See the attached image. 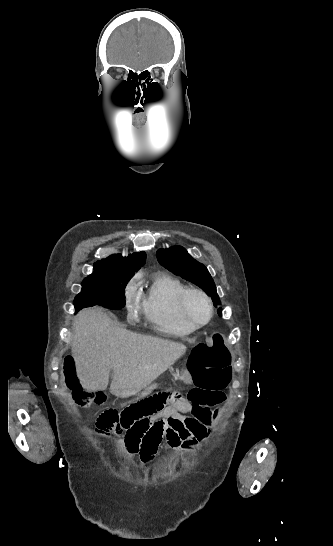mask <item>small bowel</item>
I'll list each match as a JSON object with an SVG mask.
<instances>
[{
  "mask_svg": "<svg viewBox=\"0 0 333 546\" xmlns=\"http://www.w3.org/2000/svg\"><path fill=\"white\" fill-rule=\"evenodd\" d=\"M178 374L182 376V380L187 381L188 387L195 384L192 381L194 377L187 370ZM158 384L165 386L167 383L160 381ZM143 390L137 396H147V393H152L155 389L146 386ZM201 395L208 401L183 403L178 408L166 407L145 422H136L134 418H129L128 432L121 446L128 455L138 457L145 464L153 461L162 439H165L177 457L189 454L209 436V426L217 416V411H212L211 407L221 404L225 399L222 390L204 391Z\"/></svg>",
  "mask_w": 333,
  "mask_h": 546,
  "instance_id": "obj_1",
  "label": "small bowel"
}]
</instances>
